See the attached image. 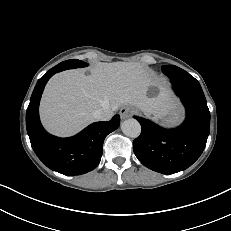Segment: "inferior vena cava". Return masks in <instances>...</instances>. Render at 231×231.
I'll return each mask as SVG.
<instances>
[{
	"instance_id": "1",
	"label": "inferior vena cava",
	"mask_w": 231,
	"mask_h": 231,
	"mask_svg": "<svg viewBox=\"0 0 231 231\" xmlns=\"http://www.w3.org/2000/svg\"><path fill=\"white\" fill-rule=\"evenodd\" d=\"M114 110L109 107H103L93 113V117L98 121H107L112 118Z\"/></svg>"
}]
</instances>
